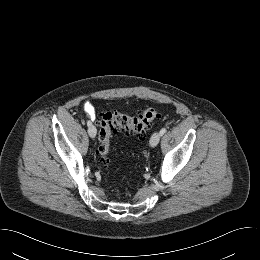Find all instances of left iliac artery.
I'll return each instance as SVG.
<instances>
[{
    "mask_svg": "<svg viewBox=\"0 0 260 260\" xmlns=\"http://www.w3.org/2000/svg\"><path fill=\"white\" fill-rule=\"evenodd\" d=\"M159 133L161 136H163L166 133V128H162Z\"/></svg>",
    "mask_w": 260,
    "mask_h": 260,
    "instance_id": "left-iliac-artery-1",
    "label": "left iliac artery"
}]
</instances>
